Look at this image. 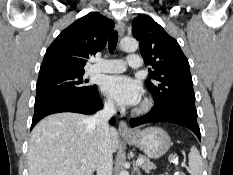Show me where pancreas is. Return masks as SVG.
<instances>
[{
	"label": "pancreas",
	"mask_w": 233,
	"mask_h": 175,
	"mask_svg": "<svg viewBox=\"0 0 233 175\" xmlns=\"http://www.w3.org/2000/svg\"><path fill=\"white\" fill-rule=\"evenodd\" d=\"M144 160L143 164L141 165V168L146 172L150 173L152 170L156 169V166L145 156H140Z\"/></svg>",
	"instance_id": "obj_1"
}]
</instances>
